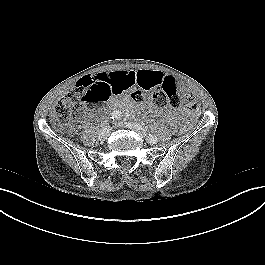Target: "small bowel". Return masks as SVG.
Wrapping results in <instances>:
<instances>
[{"instance_id": "obj_1", "label": "small bowel", "mask_w": 265, "mask_h": 265, "mask_svg": "<svg viewBox=\"0 0 265 265\" xmlns=\"http://www.w3.org/2000/svg\"><path fill=\"white\" fill-rule=\"evenodd\" d=\"M96 76V75H95ZM97 76H105L108 78V86L112 90L113 95H120L123 92L138 86L143 90L150 91L161 86L165 75L157 70H140V71H114L108 73H99ZM173 77V76H171ZM175 78V77H173ZM176 79V78H175ZM177 80V79H176ZM113 105H118L116 100L112 101ZM125 107L131 106L130 101L122 103ZM170 108L165 113H171Z\"/></svg>"}]
</instances>
